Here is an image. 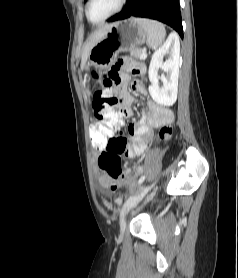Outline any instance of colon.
Wrapping results in <instances>:
<instances>
[{"label":"colon","instance_id":"5ec220e1","mask_svg":"<svg viewBox=\"0 0 238 278\" xmlns=\"http://www.w3.org/2000/svg\"><path fill=\"white\" fill-rule=\"evenodd\" d=\"M95 77H98L94 73ZM110 76L104 73L101 76V89L97 90L94 94L93 109L97 123L90 124V135L93 144L92 149L98 153L99 149H104V153L99 158V165L102 170L109 176L114 183L111 186L112 190L117 188V181L126 176V172L121 166V154H125L127 144H107L110 134H117V128L120 127L121 121V102L115 97L114 85L110 84ZM171 129L165 126L160 131V138L166 140L170 137ZM121 198L119 197L118 200Z\"/></svg>","mask_w":238,"mask_h":278}]
</instances>
